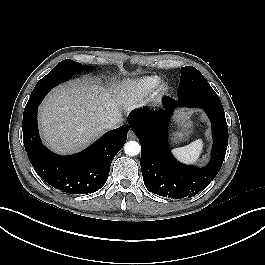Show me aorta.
<instances>
[{
  "label": "aorta",
  "instance_id": "aorta-1",
  "mask_svg": "<svg viewBox=\"0 0 265 265\" xmlns=\"http://www.w3.org/2000/svg\"><path fill=\"white\" fill-rule=\"evenodd\" d=\"M140 144L136 141H128L124 145V152L129 156H136L140 153Z\"/></svg>",
  "mask_w": 265,
  "mask_h": 265
}]
</instances>
